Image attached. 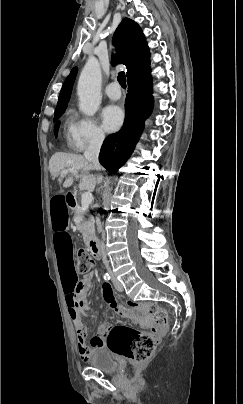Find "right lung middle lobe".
Segmentation results:
<instances>
[{
	"mask_svg": "<svg viewBox=\"0 0 243 404\" xmlns=\"http://www.w3.org/2000/svg\"><path fill=\"white\" fill-rule=\"evenodd\" d=\"M65 109H66V107H62V108L56 109V110H55V114H54V119H53V121L58 120V118L63 114V112L65 111ZM58 128H59V122H57V123L55 124V127H54V133H55V135H57Z\"/></svg>",
	"mask_w": 243,
	"mask_h": 404,
	"instance_id": "right-lung-middle-lobe-1",
	"label": "right lung middle lobe"
}]
</instances>
